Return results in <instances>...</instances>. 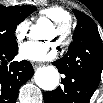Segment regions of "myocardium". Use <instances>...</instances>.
<instances>
[{"label": "myocardium", "mask_w": 103, "mask_h": 103, "mask_svg": "<svg viewBox=\"0 0 103 103\" xmlns=\"http://www.w3.org/2000/svg\"><path fill=\"white\" fill-rule=\"evenodd\" d=\"M53 27L57 32L56 42L60 47H65L72 40V28L68 22H54Z\"/></svg>", "instance_id": "1"}]
</instances>
